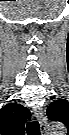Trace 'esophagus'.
Masks as SVG:
<instances>
[{
  "instance_id": "esophagus-1",
  "label": "esophagus",
  "mask_w": 69,
  "mask_h": 135,
  "mask_svg": "<svg viewBox=\"0 0 69 135\" xmlns=\"http://www.w3.org/2000/svg\"><path fill=\"white\" fill-rule=\"evenodd\" d=\"M34 114L36 118L39 120L40 124L43 126H46L47 123V117L45 115V111L43 108H35Z\"/></svg>"
}]
</instances>
